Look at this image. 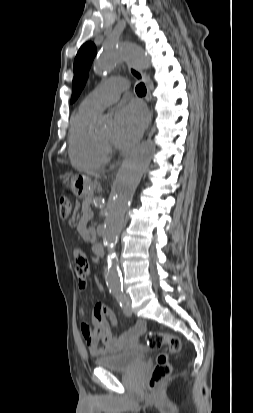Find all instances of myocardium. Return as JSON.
Here are the masks:
<instances>
[{"mask_svg": "<svg viewBox=\"0 0 253 413\" xmlns=\"http://www.w3.org/2000/svg\"><path fill=\"white\" fill-rule=\"evenodd\" d=\"M97 140H98L99 144L101 145V147H102L105 151H108V150H109L110 144H109L108 141H105V140L101 139L100 137H97Z\"/></svg>", "mask_w": 253, "mask_h": 413, "instance_id": "1", "label": "myocardium"}]
</instances>
